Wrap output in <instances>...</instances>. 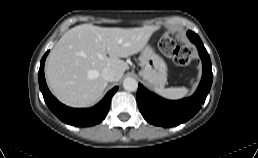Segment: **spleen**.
I'll list each match as a JSON object with an SVG mask.
<instances>
[{
    "label": "spleen",
    "instance_id": "obj_1",
    "mask_svg": "<svg viewBox=\"0 0 258 158\" xmlns=\"http://www.w3.org/2000/svg\"><path fill=\"white\" fill-rule=\"evenodd\" d=\"M154 90L162 97L172 100L181 99L188 94V89L185 87L162 88L155 86Z\"/></svg>",
    "mask_w": 258,
    "mask_h": 158
}]
</instances>
